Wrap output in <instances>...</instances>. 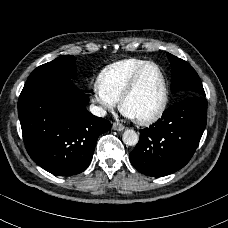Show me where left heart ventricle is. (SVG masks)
<instances>
[{"label":"left heart ventricle","instance_id":"b2bd125f","mask_svg":"<svg viewBox=\"0 0 228 228\" xmlns=\"http://www.w3.org/2000/svg\"><path fill=\"white\" fill-rule=\"evenodd\" d=\"M163 81L159 71L148 69L136 92L126 103V112L134 118H147L155 114L163 103Z\"/></svg>","mask_w":228,"mask_h":228}]
</instances>
